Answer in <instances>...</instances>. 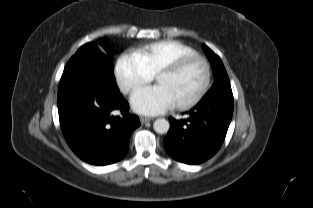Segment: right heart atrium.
Segmentation results:
<instances>
[{"instance_id":"right-heart-atrium-1","label":"right heart atrium","mask_w":313,"mask_h":208,"mask_svg":"<svg viewBox=\"0 0 313 208\" xmlns=\"http://www.w3.org/2000/svg\"><path fill=\"white\" fill-rule=\"evenodd\" d=\"M115 78L122 92L130 93L150 82L153 75L148 71L140 58L134 54H123L115 65Z\"/></svg>"}]
</instances>
